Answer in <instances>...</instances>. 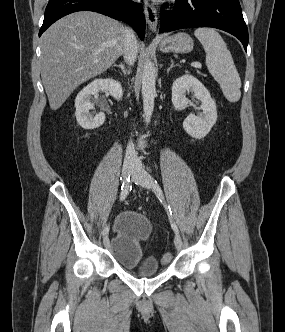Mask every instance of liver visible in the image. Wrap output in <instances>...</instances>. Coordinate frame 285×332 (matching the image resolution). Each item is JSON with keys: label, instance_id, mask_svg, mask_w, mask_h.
Instances as JSON below:
<instances>
[{"label": "liver", "instance_id": "6515ba94", "mask_svg": "<svg viewBox=\"0 0 285 332\" xmlns=\"http://www.w3.org/2000/svg\"><path fill=\"white\" fill-rule=\"evenodd\" d=\"M122 23L81 11L56 21L41 37V77L52 110L82 83L100 75L123 54Z\"/></svg>", "mask_w": 285, "mask_h": 332}]
</instances>
